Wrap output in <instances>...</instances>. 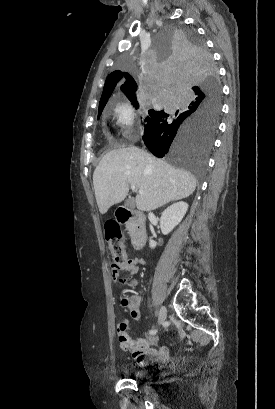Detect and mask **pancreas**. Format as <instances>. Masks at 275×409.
I'll use <instances>...</instances> for the list:
<instances>
[{"instance_id":"obj_1","label":"pancreas","mask_w":275,"mask_h":409,"mask_svg":"<svg viewBox=\"0 0 275 409\" xmlns=\"http://www.w3.org/2000/svg\"><path fill=\"white\" fill-rule=\"evenodd\" d=\"M126 229H128L129 235H130V237H132L133 233H135L134 223H126Z\"/></svg>"}]
</instances>
